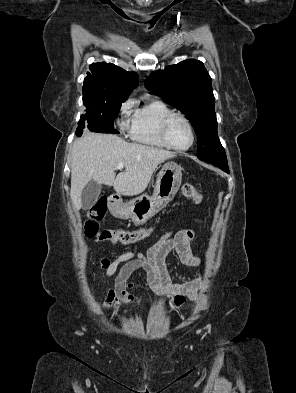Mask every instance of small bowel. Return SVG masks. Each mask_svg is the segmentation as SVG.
<instances>
[{"label":"small bowel","mask_w":296,"mask_h":393,"mask_svg":"<svg viewBox=\"0 0 296 393\" xmlns=\"http://www.w3.org/2000/svg\"><path fill=\"white\" fill-rule=\"evenodd\" d=\"M195 235L192 229L168 231L148 249L146 254L127 252L113 261L103 259L101 265L107 276L118 272L114 287L104 296V309L111 307L120 309L121 303H141L140 299L131 293L134 285L129 281L131 274L137 270L145 272L146 280L155 293L174 296L169 311L175 313L186 299H193L201 284L200 275L188 282L172 283L164 261L167 254L175 250L182 263L193 267L199 266L200 258L193 254L190 247Z\"/></svg>","instance_id":"obj_1"}]
</instances>
